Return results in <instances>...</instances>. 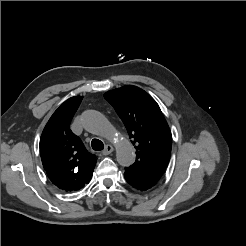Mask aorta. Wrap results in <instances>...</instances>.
Listing matches in <instances>:
<instances>
[{
	"label": "aorta",
	"mask_w": 246,
	"mask_h": 246,
	"mask_svg": "<svg viewBox=\"0 0 246 246\" xmlns=\"http://www.w3.org/2000/svg\"><path fill=\"white\" fill-rule=\"evenodd\" d=\"M82 122L86 130L103 136L115 145L116 159L121 166H130L134 163V149L100 112L95 110L84 112Z\"/></svg>",
	"instance_id": "aorta-1"
}]
</instances>
